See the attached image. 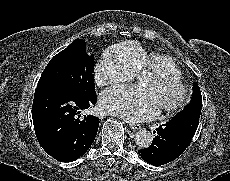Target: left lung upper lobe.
<instances>
[{"label": "left lung upper lobe", "mask_w": 230, "mask_h": 181, "mask_svg": "<svg viewBox=\"0 0 230 181\" xmlns=\"http://www.w3.org/2000/svg\"><path fill=\"white\" fill-rule=\"evenodd\" d=\"M201 109H202L201 91L198 85L196 83H193V94L190 103L184 108L183 111H181L176 116L182 114H193L200 117Z\"/></svg>", "instance_id": "5c2ea615"}]
</instances>
